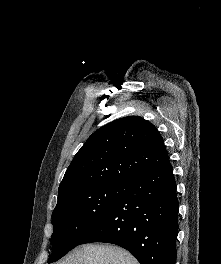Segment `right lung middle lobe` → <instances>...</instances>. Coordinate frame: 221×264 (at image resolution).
Segmentation results:
<instances>
[{"label":"right lung middle lobe","instance_id":"dd1d6c3e","mask_svg":"<svg viewBox=\"0 0 221 264\" xmlns=\"http://www.w3.org/2000/svg\"><path fill=\"white\" fill-rule=\"evenodd\" d=\"M125 185L121 182L94 185L68 196L56 205L52 213L53 251L48 263L57 261L81 244L113 208Z\"/></svg>","mask_w":221,"mask_h":264}]
</instances>
